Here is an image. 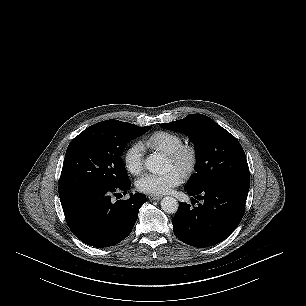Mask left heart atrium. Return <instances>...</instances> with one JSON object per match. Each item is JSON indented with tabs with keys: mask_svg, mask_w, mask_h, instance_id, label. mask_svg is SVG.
<instances>
[{
	"mask_svg": "<svg viewBox=\"0 0 306 306\" xmlns=\"http://www.w3.org/2000/svg\"><path fill=\"white\" fill-rule=\"evenodd\" d=\"M182 181V173L173 168L164 174L147 173L137 180L136 186L143 193L162 195L171 192Z\"/></svg>",
	"mask_w": 306,
	"mask_h": 306,
	"instance_id": "1",
	"label": "left heart atrium"
}]
</instances>
